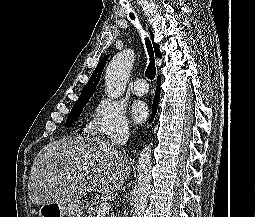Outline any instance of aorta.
<instances>
[{
    "label": "aorta",
    "mask_w": 255,
    "mask_h": 217,
    "mask_svg": "<svg viewBox=\"0 0 255 217\" xmlns=\"http://www.w3.org/2000/svg\"><path fill=\"white\" fill-rule=\"evenodd\" d=\"M134 62V52L127 49L117 53L105 72L106 94L110 98L121 97L125 91ZM151 147L145 146L139 154L137 164V195L132 217H141L148 203L151 187Z\"/></svg>",
    "instance_id": "1"
}]
</instances>
